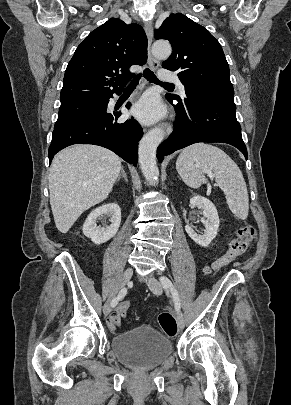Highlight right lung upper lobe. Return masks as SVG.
I'll return each instance as SVG.
<instances>
[{
  "instance_id": "cb5924a9",
  "label": "right lung upper lobe",
  "mask_w": 291,
  "mask_h": 405,
  "mask_svg": "<svg viewBox=\"0 0 291 405\" xmlns=\"http://www.w3.org/2000/svg\"><path fill=\"white\" fill-rule=\"evenodd\" d=\"M146 60L143 28L111 18L77 47L65 71L60 101L107 99L133 76L129 67Z\"/></svg>"
}]
</instances>
